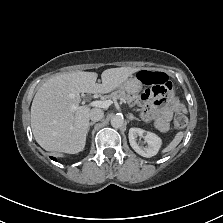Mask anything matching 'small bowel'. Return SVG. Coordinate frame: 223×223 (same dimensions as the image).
Instances as JSON below:
<instances>
[{"label":"small bowel","instance_id":"c3829d8e","mask_svg":"<svg viewBox=\"0 0 223 223\" xmlns=\"http://www.w3.org/2000/svg\"><path fill=\"white\" fill-rule=\"evenodd\" d=\"M139 104L144 114L163 132L169 129L173 113L183 110V105L176 98L171 84L156 85L146 90L141 94Z\"/></svg>","mask_w":223,"mask_h":223}]
</instances>
